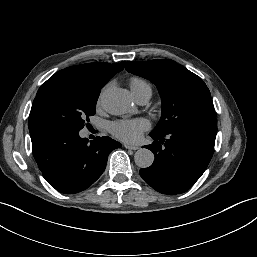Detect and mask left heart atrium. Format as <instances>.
<instances>
[{"label":"left heart atrium","instance_id":"1","mask_svg":"<svg viewBox=\"0 0 257 257\" xmlns=\"http://www.w3.org/2000/svg\"><path fill=\"white\" fill-rule=\"evenodd\" d=\"M148 128L149 122L145 119L119 120L109 125V130L114 136L128 143L137 142Z\"/></svg>","mask_w":257,"mask_h":257}]
</instances>
